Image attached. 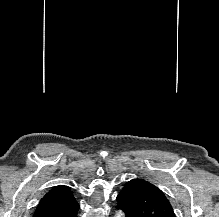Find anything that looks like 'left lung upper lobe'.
<instances>
[{"label":"left lung upper lobe","instance_id":"obj_1","mask_svg":"<svg viewBox=\"0 0 219 217\" xmlns=\"http://www.w3.org/2000/svg\"><path fill=\"white\" fill-rule=\"evenodd\" d=\"M117 201L126 217H176L164 193L143 179L128 181Z\"/></svg>","mask_w":219,"mask_h":217}]
</instances>
